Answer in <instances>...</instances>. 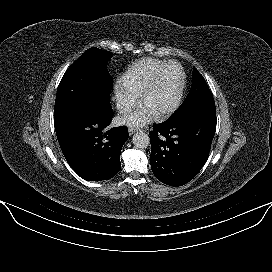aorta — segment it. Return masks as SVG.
<instances>
[{
    "instance_id": "762f6f07",
    "label": "aorta",
    "mask_w": 272,
    "mask_h": 272,
    "mask_svg": "<svg viewBox=\"0 0 272 272\" xmlns=\"http://www.w3.org/2000/svg\"><path fill=\"white\" fill-rule=\"evenodd\" d=\"M133 145L138 149H145L150 145V138L144 132L135 133L132 138Z\"/></svg>"
}]
</instances>
